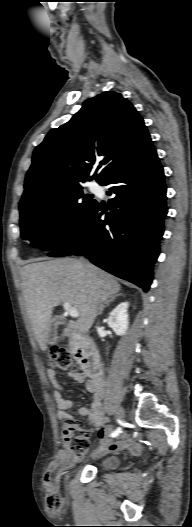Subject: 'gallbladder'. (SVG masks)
Segmentation results:
<instances>
[{
  "label": "gallbladder",
  "instance_id": "gallbladder-1",
  "mask_svg": "<svg viewBox=\"0 0 192 527\" xmlns=\"http://www.w3.org/2000/svg\"><path fill=\"white\" fill-rule=\"evenodd\" d=\"M64 323L63 316H55L51 319L48 332H47V344L53 345L57 342V329L58 326Z\"/></svg>",
  "mask_w": 192,
  "mask_h": 527
}]
</instances>
